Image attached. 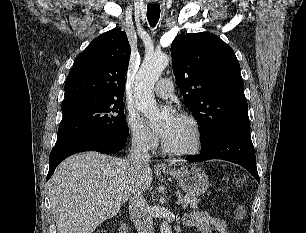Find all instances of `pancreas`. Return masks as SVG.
<instances>
[{
	"instance_id": "1",
	"label": "pancreas",
	"mask_w": 306,
	"mask_h": 233,
	"mask_svg": "<svg viewBox=\"0 0 306 233\" xmlns=\"http://www.w3.org/2000/svg\"><path fill=\"white\" fill-rule=\"evenodd\" d=\"M180 198L183 200L182 202L183 208H187V207L195 208L200 202L198 198L190 196V195L180 196Z\"/></svg>"
}]
</instances>
